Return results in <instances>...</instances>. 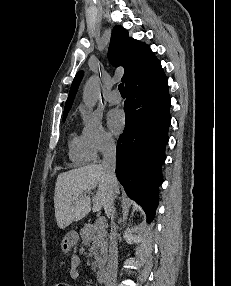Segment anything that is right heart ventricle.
I'll list each match as a JSON object with an SVG mask.
<instances>
[{"label": "right heart ventricle", "mask_w": 231, "mask_h": 286, "mask_svg": "<svg viewBox=\"0 0 231 286\" xmlns=\"http://www.w3.org/2000/svg\"><path fill=\"white\" fill-rule=\"evenodd\" d=\"M68 155L71 161L85 164L93 161L96 155L90 149L82 135L71 134L68 140Z\"/></svg>", "instance_id": "e07e8e85"}]
</instances>
